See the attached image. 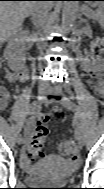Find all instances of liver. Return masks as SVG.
Instances as JSON below:
<instances>
[{
    "label": "liver",
    "instance_id": "liver-1",
    "mask_svg": "<svg viewBox=\"0 0 104 189\" xmlns=\"http://www.w3.org/2000/svg\"><path fill=\"white\" fill-rule=\"evenodd\" d=\"M39 3L36 1H1L0 3V39L5 41L16 35L24 19Z\"/></svg>",
    "mask_w": 104,
    "mask_h": 189
}]
</instances>
